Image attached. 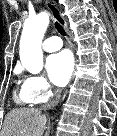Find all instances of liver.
Masks as SVG:
<instances>
[{"instance_id": "liver-1", "label": "liver", "mask_w": 117, "mask_h": 136, "mask_svg": "<svg viewBox=\"0 0 117 136\" xmlns=\"http://www.w3.org/2000/svg\"><path fill=\"white\" fill-rule=\"evenodd\" d=\"M47 118L38 108H18L4 120L1 136H42Z\"/></svg>"}]
</instances>
